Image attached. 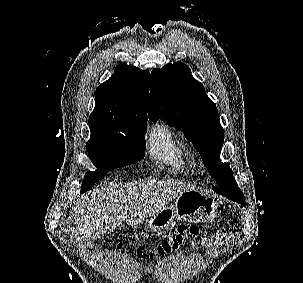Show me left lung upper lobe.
I'll list each match as a JSON object with an SVG mask.
<instances>
[{"mask_svg":"<svg viewBox=\"0 0 303 283\" xmlns=\"http://www.w3.org/2000/svg\"><path fill=\"white\" fill-rule=\"evenodd\" d=\"M161 119L182 131L199 151L204 165L216 180L212 189L218 193L242 194L228 163H221L220 151L224 142L216 105L205 94L203 85L181 62L167 64L151 73L149 119Z\"/></svg>","mask_w":303,"mask_h":283,"instance_id":"1","label":"left lung upper lobe"}]
</instances>
